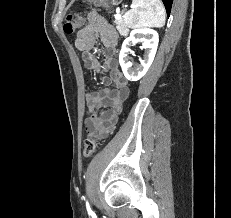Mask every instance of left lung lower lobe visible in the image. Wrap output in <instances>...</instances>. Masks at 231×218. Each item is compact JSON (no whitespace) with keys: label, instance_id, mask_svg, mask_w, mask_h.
<instances>
[{"label":"left lung lower lobe","instance_id":"left-lung-lower-lobe-1","mask_svg":"<svg viewBox=\"0 0 231 218\" xmlns=\"http://www.w3.org/2000/svg\"><path fill=\"white\" fill-rule=\"evenodd\" d=\"M162 1L165 5L167 15L169 16L173 0H162Z\"/></svg>","mask_w":231,"mask_h":218}]
</instances>
